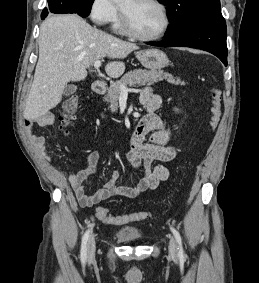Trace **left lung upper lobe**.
I'll return each instance as SVG.
<instances>
[{
    "label": "left lung upper lobe",
    "instance_id": "1",
    "mask_svg": "<svg viewBox=\"0 0 259 283\" xmlns=\"http://www.w3.org/2000/svg\"><path fill=\"white\" fill-rule=\"evenodd\" d=\"M167 7L171 26L166 35L177 34L205 19L221 14L220 0H158Z\"/></svg>",
    "mask_w": 259,
    "mask_h": 283
}]
</instances>
